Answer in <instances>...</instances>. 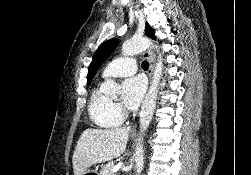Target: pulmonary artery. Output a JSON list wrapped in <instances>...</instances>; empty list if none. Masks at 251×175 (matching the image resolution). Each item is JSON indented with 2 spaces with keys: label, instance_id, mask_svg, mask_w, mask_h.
Listing matches in <instances>:
<instances>
[{
  "label": "pulmonary artery",
  "instance_id": "e3ab8cb5",
  "mask_svg": "<svg viewBox=\"0 0 251 175\" xmlns=\"http://www.w3.org/2000/svg\"><path fill=\"white\" fill-rule=\"evenodd\" d=\"M127 58L129 59L130 57L124 56L123 58H118V62H109V65L101 74L102 78L127 76L135 73L137 67H139V62H124V59Z\"/></svg>",
  "mask_w": 251,
  "mask_h": 175
}]
</instances>
